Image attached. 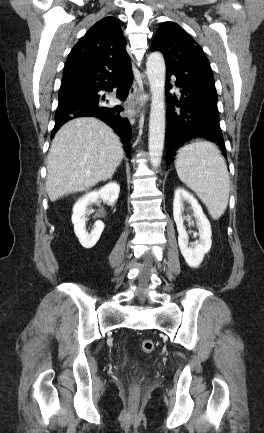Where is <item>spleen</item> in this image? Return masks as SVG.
<instances>
[{
    "mask_svg": "<svg viewBox=\"0 0 264 433\" xmlns=\"http://www.w3.org/2000/svg\"><path fill=\"white\" fill-rule=\"evenodd\" d=\"M175 168L179 179L193 190L215 220L225 212L230 178L224 157L208 141H196L179 149Z\"/></svg>",
    "mask_w": 264,
    "mask_h": 433,
    "instance_id": "3e777b00",
    "label": "spleen"
}]
</instances>
